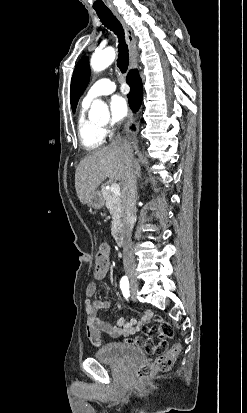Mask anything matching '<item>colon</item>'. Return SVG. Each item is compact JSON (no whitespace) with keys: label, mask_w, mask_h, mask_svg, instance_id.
<instances>
[{"label":"colon","mask_w":247,"mask_h":413,"mask_svg":"<svg viewBox=\"0 0 247 413\" xmlns=\"http://www.w3.org/2000/svg\"><path fill=\"white\" fill-rule=\"evenodd\" d=\"M101 274H109V262L105 258V249L98 247L96 254L92 256V277L99 278ZM156 340L164 341L165 335L159 334ZM181 349L182 344L180 342H173L169 353H163L162 357H157L154 364H145L138 369L135 375L136 381H151L152 374L155 371H169L174 365L178 351Z\"/></svg>","instance_id":"1"}]
</instances>
